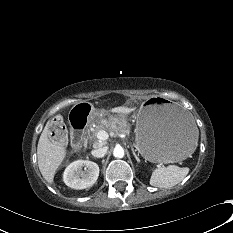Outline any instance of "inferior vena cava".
<instances>
[{
	"label": "inferior vena cava",
	"mask_w": 233,
	"mask_h": 233,
	"mask_svg": "<svg viewBox=\"0 0 233 233\" xmlns=\"http://www.w3.org/2000/svg\"><path fill=\"white\" fill-rule=\"evenodd\" d=\"M107 150H108V147L105 146V147H101V148H97V149L92 150L91 154L94 157L102 158L107 153Z\"/></svg>",
	"instance_id": "obj_1"
}]
</instances>
